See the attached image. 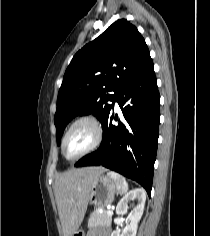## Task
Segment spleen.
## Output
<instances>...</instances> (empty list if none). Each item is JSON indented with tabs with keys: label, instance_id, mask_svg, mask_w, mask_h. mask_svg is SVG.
Segmentation results:
<instances>
[{
	"label": "spleen",
	"instance_id": "spleen-1",
	"mask_svg": "<svg viewBox=\"0 0 210 236\" xmlns=\"http://www.w3.org/2000/svg\"><path fill=\"white\" fill-rule=\"evenodd\" d=\"M108 175L117 182L119 193L124 194L128 191V183L123 176L113 171L109 172Z\"/></svg>",
	"mask_w": 210,
	"mask_h": 236
}]
</instances>
